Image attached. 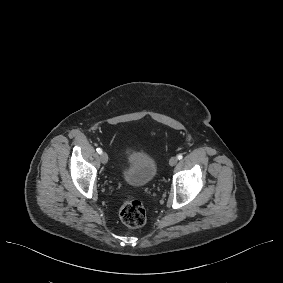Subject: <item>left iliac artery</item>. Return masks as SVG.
<instances>
[{
	"label": "left iliac artery",
	"mask_w": 283,
	"mask_h": 283,
	"mask_svg": "<svg viewBox=\"0 0 283 283\" xmlns=\"http://www.w3.org/2000/svg\"><path fill=\"white\" fill-rule=\"evenodd\" d=\"M177 158H178L179 160H181V159L183 158V155H182V154H179V155L177 156Z\"/></svg>",
	"instance_id": "obj_1"
}]
</instances>
